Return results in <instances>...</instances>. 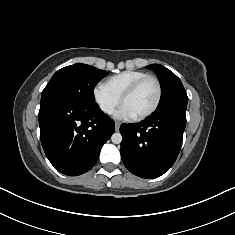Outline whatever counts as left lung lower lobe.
<instances>
[{
    "label": "left lung lower lobe",
    "mask_w": 235,
    "mask_h": 235,
    "mask_svg": "<svg viewBox=\"0 0 235 235\" xmlns=\"http://www.w3.org/2000/svg\"><path fill=\"white\" fill-rule=\"evenodd\" d=\"M186 109L153 113L135 124H122L121 157L125 167L142 178H157L174 164L183 140Z\"/></svg>",
    "instance_id": "1"
}]
</instances>
